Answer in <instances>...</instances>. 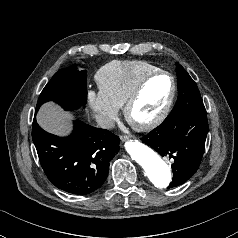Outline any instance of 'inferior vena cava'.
Masks as SVG:
<instances>
[{"label":"inferior vena cava","mask_w":238,"mask_h":238,"mask_svg":"<svg viewBox=\"0 0 238 238\" xmlns=\"http://www.w3.org/2000/svg\"><path fill=\"white\" fill-rule=\"evenodd\" d=\"M95 120L97 122V124L104 129H109V128H113L115 125V122L113 119H111L110 117L106 116V115H102V114H97L95 115Z\"/></svg>","instance_id":"602c4592"}]
</instances>
